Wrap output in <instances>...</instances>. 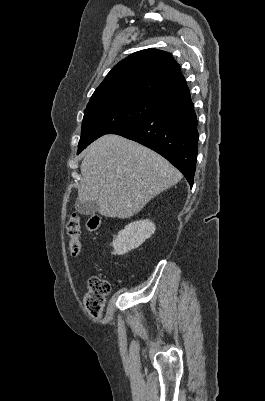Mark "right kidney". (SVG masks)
<instances>
[{"label":"right kidney","instance_id":"right-kidney-1","mask_svg":"<svg viewBox=\"0 0 265 401\" xmlns=\"http://www.w3.org/2000/svg\"><path fill=\"white\" fill-rule=\"evenodd\" d=\"M155 231L154 223L148 219L129 223L122 231H119L116 239H114L112 243L114 253L112 255H125L132 249H137L142 243H145L146 239H150Z\"/></svg>","mask_w":265,"mask_h":401}]
</instances>
